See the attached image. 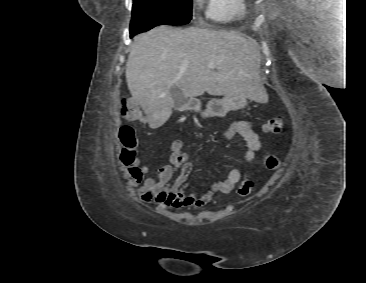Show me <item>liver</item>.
Masks as SVG:
<instances>
[{
	"label": "liver",
	"mask_w": 366,
	"mask_h": 283,
	"mask_svg": "<svg viewBox=\"0 0 366 283\" xmlns=\"http://www.w3.org/2000/svg\"><path fill=\"white\" fill-rule=\"evenodd\" d=\"M259 68L256 42L240 33L162 25L134 38L126 80L150 128L155 129L172 114L175 102L170 90L174 86L185 100L207 92L261 102Z\"/></svg>",
	"instance_id": "obj_1"
}]
</instances>
